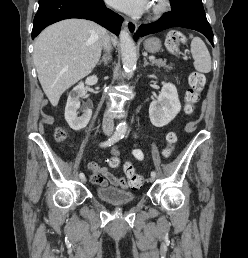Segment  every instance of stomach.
<instances>
[{"label":"stomach","mask_w":248,"mask_h":258,"mask_svg":"<svg viewBox=\"0 0 248 258\" xmlns=\"http://www.w3.org/2000/svg\"><path fill=\"white\" fill-rule=\"evenodd\" d=\"M144 49L149 53H157L161 49V41L156 37H151L145 40Z\"/></svg>","instance_id":"obj_1"}]
</instances>
